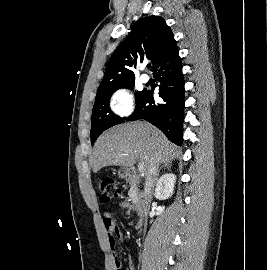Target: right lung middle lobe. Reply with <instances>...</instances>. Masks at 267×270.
Instances as JSON below:
<instances>
[{
    "instance_id": "dd1d6c3e",
    "label": "right lung middle lobe",
    "mask_w": 267,
    "mask_h": 270,
    "mask_svg": "<svg viewBox=\"0 0 267 270\" xmlns=\"http://www.w3.org/2000/svg\"><path fill=\"white\" fill-rule=\"evenodd\" d=\"M134 81L123 83L114 87L98 91L92 111L91 143L93 144L99 135L110 127L122 123L125 118H121L112 113L109 101L111 95L120 88L133 89ZM146 90L135 93L138 102Z\"/></svg>"
}]
</instances>
